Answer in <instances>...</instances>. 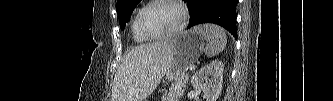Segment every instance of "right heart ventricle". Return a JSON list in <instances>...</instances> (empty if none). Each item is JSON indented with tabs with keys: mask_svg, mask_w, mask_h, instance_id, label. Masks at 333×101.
Masks as SVG:
<instances>
[{
	"mask_svg": "<svg viewBox=\"0 0 333 101\" xmlns=\"http://www.w3.org/2000/svg\"><path fill=\"white\" fill-rule=\"evenodd\" d=\"M141 9H138L135 14L133 15L132 19H131V31H132V36L134 38V40L137 43H143L148 41L149 39L147 37H145L144 35H142L138 29L137 26V18L139 15Z\"/></svg>",
	"mask_w": 333,
	"mask_h": 101,
	"instance_id": "1",
	"label": "right heart ventricle"
}]
</instances>
